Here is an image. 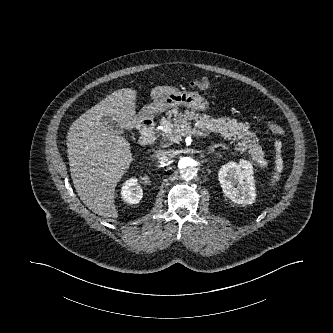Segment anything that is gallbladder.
<instances>
[{
  "label": "gallbladder",
  "mask_w": 333,
  "mask_h": 333,
  "mask_svg": "<svg viewBox=\"0 0 333 333\" xmlns=\"http://www.w3.org/2000/svg\"><path fill=\"white\" fill-rule=\"evenodd\" d=\"M107 125L113 129L116 134H121L123 129L114 121L106 120Z\"/></svg>",
  "instance_id": "obj_1"
}]
</instances>
